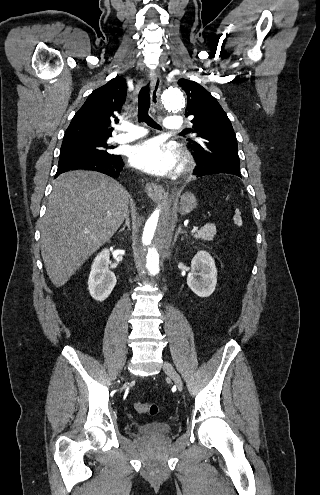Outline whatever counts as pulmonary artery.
Returning <instances> with one entry per match:
<instances>
[{
    "mask_svg": "<svg viewBox=\"0 0 320 495\" xmlns=\"http://www.w3.org/2000/svg\"><path fill=\"white\" fill-rule=\"evenodd\" d=\"M164 126L169 131H179L183 127V120L179 116L167 117ZM125 132L114 137L116 143H127L138 139L146 134V130L138 125L127 124L123 126Z\"/></svg>",
    "mask_w": 320,
    "mask_h": 495,
    "instance_id": "e3ab8cb5",
    "label": "pulmonary artery"
}]
</instances>
